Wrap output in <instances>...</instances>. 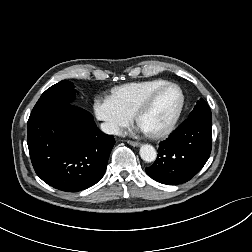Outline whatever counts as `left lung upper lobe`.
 Wrapping results in <instances>:
<instances>
[{
	"instance_id": "5c2ea615",
	"label": "left lung upper lobe",
	"mask_w": 252,
	"mask_h": 252,
	"mask_svg": "<svg viewBox=\"0 0 252 252\" xmlns=\"http://www.w3.org/2000/svg\"><path fill=\"white\" fill-rule=\"evenodd\" d=\"M191 117H209L212 118V114L208 104L202 99L197 102L193 111L190 113L189 118Z\"/></svg>"
}]
</instances>
